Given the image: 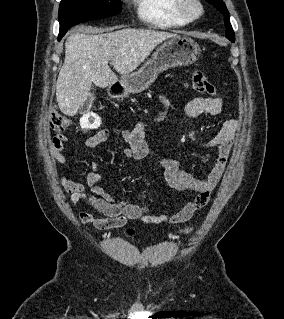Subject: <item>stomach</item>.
I'll return each instance as SVG.
<instances>
[{"label":"stomach","mask_w":284,"mask_h":319,"mask_svg":"<svg viewBox=\"0 0 284 319\" xmlns=\"http://www.w3.org/2000/svg\"><path fill=\"white\" fill-rule=\"evenodd\" d=\"M200 55L199 45L190 37L176 36L156 49L151 58L137 71L121 77L114 92L140 93L146 90L158 74L169 68L194 63Z\"/></svg>","instance_id":"obj_1"}]
</instances>
